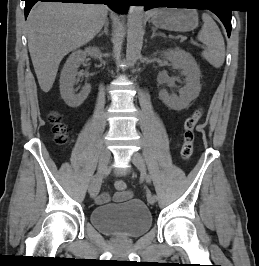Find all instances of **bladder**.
<instances>
[{
    "label": "bladder",
    "mask_w": 259,
    "mask_h": 266,
    "mask_svg": "<svg viewBox=\"0 0 259 266\" xmlns=\"http://www.w3.org/2000/svg\"><path fill=\"white\" fill-rule=\"evenodd\" d=\"M90 222L105 235L138 238L151 229L152 215L143 201L132 198L120 205L107 204L93 208Z\"/></svg>",
    "instance_id": "1"
}]
</instances>
